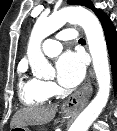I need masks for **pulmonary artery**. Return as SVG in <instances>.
Here are the masks:
<instances>
[{
  "instance_id": "pulmonary-artery-1",
  "label": "pulmonary artery",
  "mask_w": 117,
  "mask_h": 131,
  "mask_svg": "<svg viewBox=\"0 0 117 131\" xmlns=\"http://www.w3.org/2000/svg\"><path fill=\"white\" fill-rule=\"evenodd\" d=\"M75 37L76 35L73 31L64 30L60 32L55 38L46 39L42 44V50L45 55L54 57L62 50V44L60 41L73 40Z\"/></svg>"
}]
</instances>
